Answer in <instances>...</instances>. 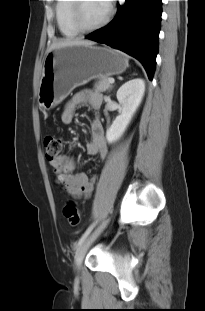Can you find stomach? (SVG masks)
<instances>
[{
  "label": "stomach",
  "mask_w": 205,
  "mask_h": 311,
  "mask_svg": "<svg viewBox=\"0 0 205 311\" xmlns=\"http://www.w3.org/2000/svg\"><path fill=\"white\" fill-rule=\"evenodd\" d=\"M128 58L120 51L93 45H70L47 53L38 90V103L51 109L71 91L92 79L123 73Z\"/></svg>",
  "instance_id": "1"
}]
</instances>
